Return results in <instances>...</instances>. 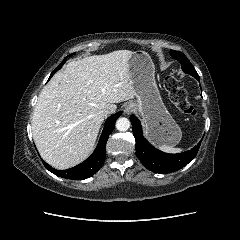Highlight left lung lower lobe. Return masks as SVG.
Returning <instances> with one entry per match:
<instances>
[{"instance_id":"1","label":"left lung lower lobe","mask_w":240,"mask_h":240,"mask_svg":"<svg viewBox=\"0 0 240 240\" xmlns=\"http://www.w3.org/2000/svg\"><path fill=\"white\" fill-rule=\"evenodd\" d=\"M199 81V75L195 76ZM133 134L136 140V153L142 164L154 173H171L186 166L192 161L200 147V143L193 149L178 153L167 154L154 148L142 135V126L135 115L130 116Z\"/></svg>"}]
</instances>
